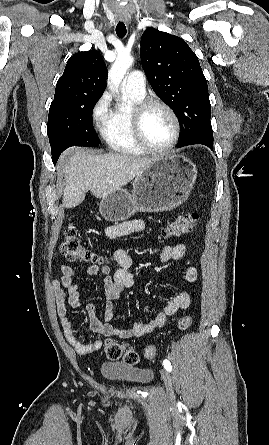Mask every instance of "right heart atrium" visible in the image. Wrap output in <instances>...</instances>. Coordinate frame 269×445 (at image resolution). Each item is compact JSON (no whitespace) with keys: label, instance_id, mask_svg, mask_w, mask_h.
Returning a JSON list of instances; mask_svg holds the SVG:
<instances>
[{"label":"right heart atrium","instance_id":"right-heart-atrium-1","mask_svg":"<svg viewBox=\"0 0 269 445\" xmlns=\"http://www.w3.org/2000/svg\"><path fill=\"white\" fill-rule=\"evenodd\" d=\"M109 113V96L103 94L94 104L92 117L96 123H101Z\"/></svg>","mask_w":269,"mask_h":445}]
</instances>
